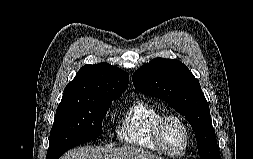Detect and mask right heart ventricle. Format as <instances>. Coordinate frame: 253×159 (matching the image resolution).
<instances>
[{
  "instance_id": "right-heart-ventricle-1",
  "label": "right heart ventricle",
  "mask_w": 253,
  "mask_h": 159,
  "mask_svg": "<svg viewBox=\"0 0 253 159\" xmlns=\"http://www.w3.org/2000/svg\"><path fill=\"white\" fill-rule=\"evenodd\" d=\"M163 114L157 106L144 101L133 102L119 119L116 135L128 146L149 151H159L153 139V127Z\"/></svg>"
}]
</instances>
